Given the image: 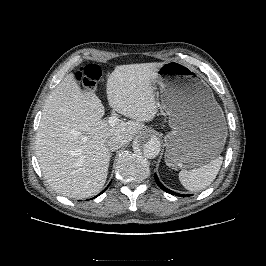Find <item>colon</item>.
<instances>
[{"label":"colon","mask_w":266,"mask_h":266,"mask_svg":"<svg viewBox=\"0 0 266 266\" xmlns=\"http://www.w3.org/2000/svg\"><path fill=\"white\" fill-rule=\"evenodd\" d=\"M102 77V69L96 64H87L79 68L77 79L82 83L86 91L94 89L96 83Z\"/></svg>","instance_id":"5ec220e1"}]
</instances>
